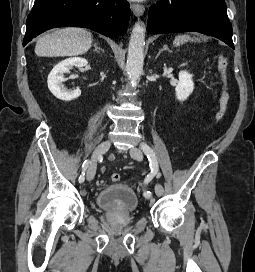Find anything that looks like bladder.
Segmentation results:
<instances>
[{"label":"bladder","mask_w":255,"mask_h":272,"mask_svg":"<svg viewBox=\"0 0 255 272\" xmlns=\"http://www.w3.org/2000/svg\"><path fill=\"white\" fill-rule=\"evenodd\" d=\"M94 201L100 208L120 213L134 212L139 203L136 192L125 183L104 187L95 195Z\"/></svg>","instance_id":"1"}]
</instances>
